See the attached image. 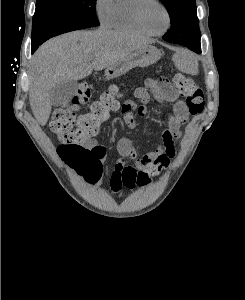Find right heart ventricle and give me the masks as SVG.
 <instances>
[{"instance_id":"1","label":"right heart ventricle","mask_w":245,"mask_h":300,"mask_svg":"<svg viewBox=\"0 0 245 300\" xmlns=\"http://www.w3.org/2000/svg\"><path fill=\"white\" fill-rule=\"evenodd\" d=\"M138 0H114L108 25L122 32L147 34L137 24L135 7Z\"/></svg>"}]
</instances>
